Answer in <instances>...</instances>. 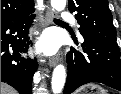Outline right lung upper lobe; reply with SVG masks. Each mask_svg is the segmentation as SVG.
I'll use <instances>...</instances> for the list:
<instances>
[{"label": "right lung upper lobe", "instance_id": "obj_1", "mask_svg": "<svg viewBox=\"0 0 121 94\" xmlns=\"http://www.w3.org/2000/svg\"><path fill=\"white\" fill-rule=\"evenodd\" d=\"M33 0H1V20L33 9Z\"/></svg>", "mask_w": 121, "mask_h": 94}]
</instances>
